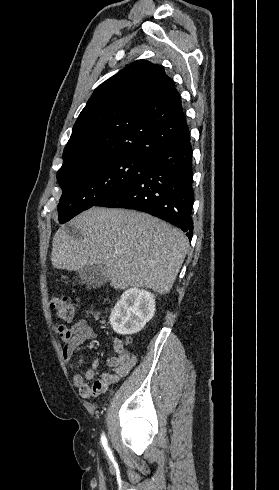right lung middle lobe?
<instances>
[{
    "instance_id": "obj_1",
    "label": "right lung middle lobe",
    "mask_w": 279,
    "mask_h": 490,
    "mask_svg": "<svg viewBox=\"0 0 279 490\" xmlns=\"http://www.w3.org/2000/svg\"><path fill=\"white\" fill-rule=\"evenodd\" d=\"M151 161L135 157L94 159L73 171L57 175L62 188L59 222L66 223L108 194L140 177Z\"/></svg>"
}]
</instances>
